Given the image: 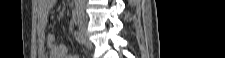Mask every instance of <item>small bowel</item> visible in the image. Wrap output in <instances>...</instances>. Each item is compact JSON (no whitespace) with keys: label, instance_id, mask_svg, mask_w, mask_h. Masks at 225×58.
Returning <instances> with one entry per match:
<instances>
[{"label":"small bowel","instance_id":"obj_1","mask_svg":"<svg viewBox=\"0 0 225 58\" xmlns=\"http://www.w3.org/2000/svg\"><path fill=\"white\" fill-rule=\"evenodd\" d=\"M56 2V0H39L37 3V42L39 53L43 58H78L77 54H68L66 46L57 41L54 33L46 36L49 14Z\"/></svg>","mask_w":225,"mask_h":58}]
</instances>
